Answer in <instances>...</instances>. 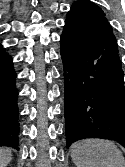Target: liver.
I'll list each match as a JSON object with an SVG mask.
<instances>
[{
    "instance_id": "liver-1",
    "label": "liver",
    "mask_w": 125,
    "mask_h": 167,
    "mask_svg": "<svg viewBox=\"0 0 125 167\" xmlns=\"http://www.w3.org/2000/svg\"><path fill=\"white\" fill-rule=\"evenodd\" d=\"M11 160V150L9 148L0 147V167H6Z\"/></svg>"
}]
</instances>
